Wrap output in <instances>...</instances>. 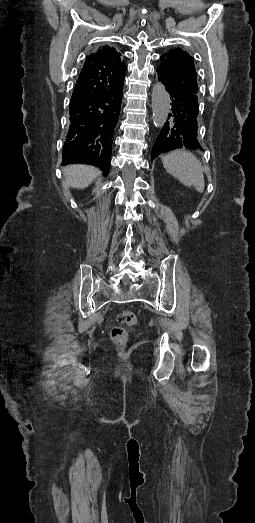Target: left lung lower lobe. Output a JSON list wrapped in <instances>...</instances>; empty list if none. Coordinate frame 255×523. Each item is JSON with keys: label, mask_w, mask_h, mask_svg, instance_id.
Returning a JSON list of instances; mask_svg holds the SVG:
<instances>
[{"label": "left lung lower lobe", "mask_w": 255, "mask_h": 523, "mask_svg": "<svg viewBox=\"0 0 255 523\" xmlns=\"http://www.w3.org/2000/svg\"><path fill=\"white\" fill-rule=\"evenodd\" d=\"M157 81L162 83L163 91H167L171 97L170 104L173 109H170L172 114L168 116L164 127L158 129V137L152 140L150 148L153 152L149 153V158L157 161L158 153L172 152V147L183 148L185 151L201 149L196 137L199 132L197 123H200L198 107L191 102L186 93L179 92L174 85H169L162 76H159Z\"/></svg>", "instance_id": "0a47b994"}]
</instances>
